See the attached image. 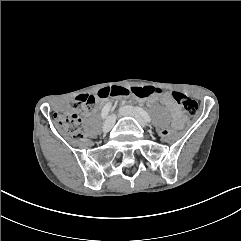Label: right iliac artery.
<instances>
[{
  "mask_svg": "<svg viewBox=\"0 0 241 241\" xmlns=\"http://www.w3.org/2000/svg\"><path fill=\"white\" fill-rule=\"evenodd\" d=\"M111 108V103H107L104 108L101 111V118L105 119L107 117V115L109 114Z\"/></svg>",
  "mask_w": 241,
  "mask_h": 241,
  "instance_id": "82829eb1",
  "label": "right iliac artery"
}]
</instances>
